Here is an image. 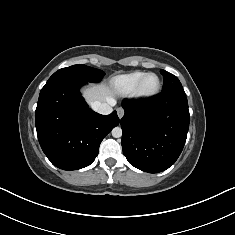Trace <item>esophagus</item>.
<instances>
[{"label":"esophagus","instance_id":"1","mask_svg":"<svg viewBox=\"0 0 235 235\" xmlns=\"http://www.w3.org/2000/svg\"><path fill=\"white\" fill-rule=\"evenodd\" d=\"M117 115L121 119L124 116V109L123 108H117Z\"/></svg>","mask_w":235,"mask_h":235}]
</instances>
